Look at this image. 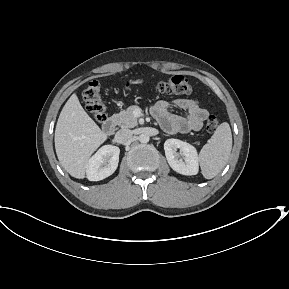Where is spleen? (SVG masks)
Wrapping results in <instances>:
<instances>
[{
	"instance_id": "spleen-1",
	"label": "spleen",
	"mask_w": 289,
	"mask_h": 289,
	"mask_svg": "<svg viewBox=\"0 0 289 289\" xmlns=\"http://www.w3.org/2000/svg\"><path fill=\"white\" fill-rule=\"evenodd\" d=\"M232 150V133L227 122L220 124L211 139L199 153L201 172L204 178L217 176L227 164Z\"/></svg>"
}]
</instances>
